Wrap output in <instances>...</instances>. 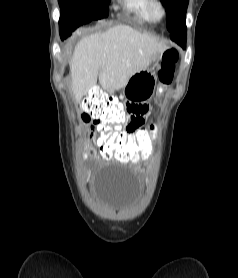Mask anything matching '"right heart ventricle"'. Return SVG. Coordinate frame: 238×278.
<instances>
[{"mask_svg":"<svg viewBox=\"0 0 238 278\" xmlns=\"http://www.w3.org/2000/svg\"><path fill=\"white\" fill-rule=\"evenodd\" d=\"M125 9L141 22H151L147 12V0H122Z\"/></svg>","mask_w":238,"mask_h":278,"instance_id":"right-heart-ventricle-1","label":"right heart ventricle"}]
</instances>
